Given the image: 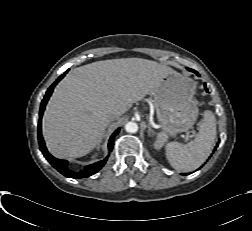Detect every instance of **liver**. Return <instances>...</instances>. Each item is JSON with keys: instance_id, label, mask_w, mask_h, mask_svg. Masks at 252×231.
<instances>
[{"instance_id": "1", "label": "liver", "mask_w": 252, "mask_h": 231, "mask_svg": "<svg viewBox=\"0 0 252 231\" xmlns=\"http://www.w3.org/2000/svg\"><path fill=\"white\" fill-rule=\"evenodd\" d=\"M173 70L155 61L122 58L71 70L56 86L43 116V137L57 158H78L102 140L116 118L151 93Z\"/></svg>"}]
</instances>
